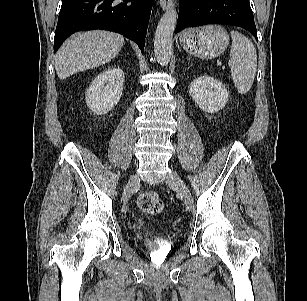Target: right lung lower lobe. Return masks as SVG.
<instances>
[{
    "label": "right lung lower lobe",
    "mask_w": 307,
    "mask_h": 301,
    "mask_svg": "<svg viewBox=\"0 0 307 301\" xmlns=\"http://www.w3.org/2000/svg\"><path fill=\"white\" fill-rule=\"evenodd\" d=\"M153 0H63L54 52L77 31L104 29L120 33L144 50Z\"/></svg>",
    "instance_id": "right-lung-lower-lobe-1"
}]
</instances>
